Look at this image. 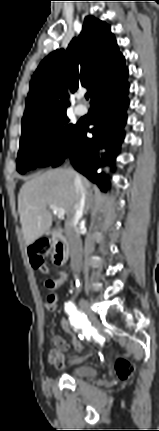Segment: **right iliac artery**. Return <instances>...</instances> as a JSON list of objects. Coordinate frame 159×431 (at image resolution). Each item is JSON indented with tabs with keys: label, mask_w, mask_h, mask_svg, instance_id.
Segmentation results:
<instances>
[{
	"label": "right iliac artery",
	"mask_w": 159,
	"mask_h": 431,
	"mask_svg": "<svg viewBox=\"0 0 159 431\" xmlns=\"http://www.w3.org/2000/svg\"><path fill=\"white\" fill-rule=\"evenodd\" d=\"M65 311L69 315L71 324L76 328L82 329L83 334L86 336L87 339H89L93 333V328L87 321L86 316L81 314V312L72 302H67L65 304Z\"/></svg>",
	"instance_id": "82829eb1"
}]
</instances>
